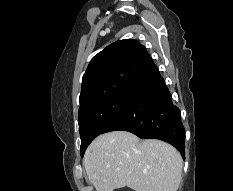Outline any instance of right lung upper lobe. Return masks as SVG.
<instances>
[{
    "label": "right lung upper lobe",
    "instance_id": "right-lung-upper-lobe-1",
    "mask_svg": "<svg viewBox=\"0 0 233 191\" xmlns=\"http://www.w3.org/2000/svg\"><path fill=\"white\" fill-rule=\"evenodd\" d=\"M152 60L137 40H119L99 52L83 76L80 108L128 91Z\"/></svg>",
    "mask_w": 233,
    "mask_h": 191
}]
</instances>
